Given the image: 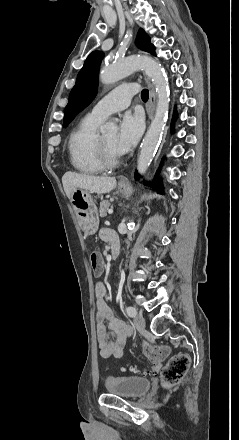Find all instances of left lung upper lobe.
Instances as JSON below:
<instances>
[{"instance_id": "obj_1", "label": "left lung upper lobe", "mask_w": 239, "mask_h": 440, "mask_svg": "<svg viewBox=\"0 0 239 440\" xmlns=\"http://www.w3.org/2000/svg\"><path fill=\"white\" fill-rule=\"evenodd\" d=\"M136 44L140 49L156 55L155 48L150 43V37L142 29L138 32ZM103 56L102 52L93 51L87 57L83 68L79 71L76 84L70 92L69 102L65 108L64 127L94 99L98 84L99 66Z\"/></svg>"}]
</instances>
